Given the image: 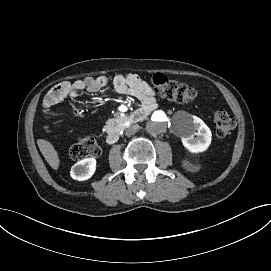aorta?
<instances>
[{
	"instance_id": "1",
	"label": "aorta",
	"mask_w": 271,
	"mask_h": 271,
	"mask_svg": "<svg viewBox=\"0 0 271 271\" xmlns=\"http://www.w3.org/2000/svg\"><path fill=\"white\" fill-rule=\"evenodd\" d=\"M146 113V131L151 135L164 133L168 127V115L164 111L156 109H147Z\"/></svg>"
}]
</instances>
